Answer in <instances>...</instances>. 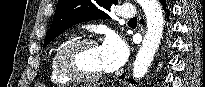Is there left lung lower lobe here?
I'll return each instance as SVG.
<instances>
[{
    "mask_svg": "<svg viewBox=\"0 0 205 87\" xmlns=\"http://www.w3.org/2000/svg\"><path fill=\"white\" fill-rule=\"evenodd\" d=\"M160 3L162 4L163 8L165 9V12H166V14H167V20H169V10L166 9V7H167L166 0H160ZM141 23H143V20H141ZM124 77H125V76L122 75L120 78L123 79ZM129 80H130L132 83H134V81H133L131 78H129Z\"/></svg>",
    "mask_w": 205,
    "mask_h": 87,
    "instance_id": "left-lung-lower-lobe-1",
    "label": "left lung lower lobe"
}]
</instances>
